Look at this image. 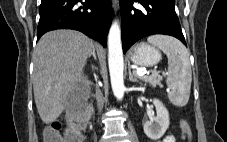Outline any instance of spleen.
I'll return each mask as SVG.
<instances>
[{
	"instance_id": "1",
	"label": "spleen",
	"mask_w": 227,
	"mask_h": 142,
	"mask_svg": "<svg viewBox=\"0 0 227 142\" xmlns=\"http://www.w3.org/2000/svg\"><path fill=\"white\" fill-rule=\"evenodd\" d=\"M147 41L160 48L168 57L167 83L172 90L169 100L176 106H185L190 97L192 71L189 51L177 39L166 35H153Z\"/></svg>"
}]
</instances>
